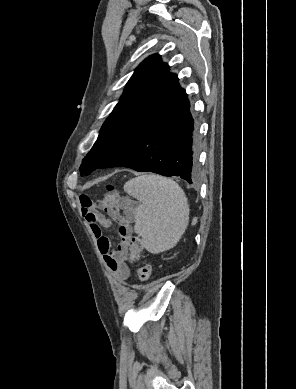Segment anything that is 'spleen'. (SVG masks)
<instances>
[{"instance_id":"3e777b00","label":"spleen","mask_w":296,"mask_h":389,"mask_svg":"<svg viewBox=\"0 0 296 389\" xmlns=\"http://www.w3.org/2000/svg\"><path fill=\"white\" fill-rule=\"evenodd\" d=\"M124 191L139 201L134 231L142 246L158 254L173 248L184 234L189 220L187 198L172 179L154 174L135 177Z\"/></svg>"}]
</instances>
